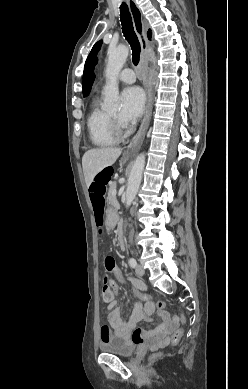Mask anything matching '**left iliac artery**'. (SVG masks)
Listing matches in <instances>:
<instances>
[{
	"label": "left iliac artery",
	"instance_id": "1",
	"mask_svg": "<svg viewBox=\"0 0 248 389\" xmlns=\"http://www.w3.org/2000/svg\"><path fill=\"white\" fill-rule=\"evenodd\" d=\"M129 264H130V266H131L132 268H135L136 265H137V262H136V260H135L133 257H131V258L129 259Z\"/></svg>",
	"mask_w": 248,
	"mask_h": 389
}]
</instances>
